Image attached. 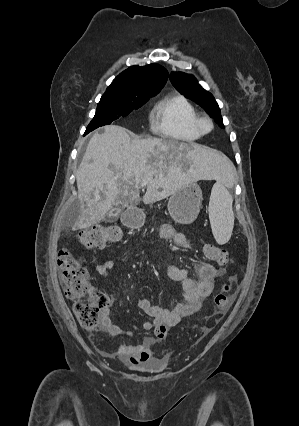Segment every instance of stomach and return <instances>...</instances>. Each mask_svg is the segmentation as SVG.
<instances>
[{
	"label": "stomach",
	"instance_id": "obj_1",
	"mask_svg": "<svg viewBox=\"0 0 299 426\" xmlns=\"http://www.w3.org/2000/svg\"><path fill=\"white\" fill-rule=\"evenodd\" d=\"M202 200L200 187L196 183H188L170 196L168 201L169 214L177 223L190 224L197 218Z\"/></svg>",
	"mask_w": 299,
	"mask_h": 426
}]
</instances>
